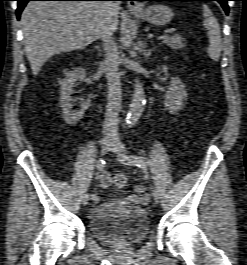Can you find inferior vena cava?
Masks as SVG:
<instances>
[{"label": "inferior vena cava", "mask_w": 247, "mask_h": 265, "mask_svg": "<svg viewBox=\"0 0 247 265\" xmlns=\"http://www.w3.org/2000/svg\"><path fill=\"white\" fill-rule=\"evenodd\" d=\"M104 8L108 15L114 11L118 5V2L106 1L103 2ZM109 20V19H107ZM103 22V26L100 30V37L103 42L105 60L103 67L106 71V78L108 84V102L106 106L105 121L103 125L104 134H117L118 132V114L121 108V86L120 77L118 74V52L117 46L112 38V32L106 21Z\"/></svg>", "instance_id": "1"}]
</instances>
